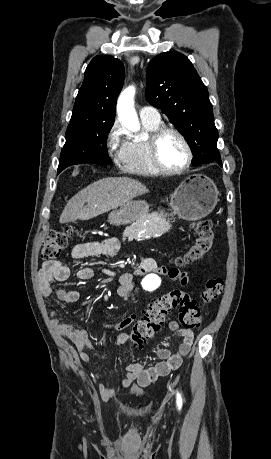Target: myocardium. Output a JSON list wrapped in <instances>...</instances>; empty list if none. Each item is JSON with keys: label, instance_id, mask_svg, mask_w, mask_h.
Wrapping results in <instances>:
<instances>
[{"label": "myocardium", "instance_id": "obj_1", "mask_svg": "<svg viewBox=\"0 0 271 459\" xmlns=\"http://www.w3.org/2000/svg\"><path fill=\"white\" fill-rule=\"evenodd\" d=\"M168 133H174L178 135L183 142L185 143L188 151V159L187 161L178 167H171L166 165L161 157L160 154V142L162 138L168 134ZM150 141V153H151V158L155 166L163 173L167 174H179L191 167V165L194 162L195 154H194V149L193 146L187 137V135L178 127L175 126H161L157 128L153 133H151L149 137Z\"/></svg>", "mask_w": 271, "mask_h": 459}]
</instances>
